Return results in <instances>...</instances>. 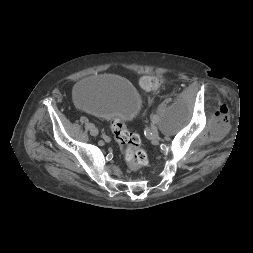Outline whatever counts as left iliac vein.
<instances>
[{
    "label": "left iliac vein",
    "mask_w": 253,
    "mask_h": 253,
    "mask_svg": "<svg viewBox=\"0 0 253 253\" xmlns=\"http://www.w3.org/2000/svg\"><path fill=\"white\" fill-rule=\"evenodd\" d=\"M158 134H159L158 128L155 125L151 126L150 135L152 136V138H155Z\"/></svg>",
    "instance_id": "obj_1"
}]
</instances>
